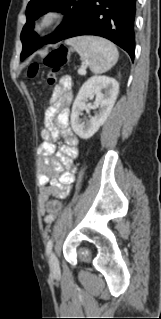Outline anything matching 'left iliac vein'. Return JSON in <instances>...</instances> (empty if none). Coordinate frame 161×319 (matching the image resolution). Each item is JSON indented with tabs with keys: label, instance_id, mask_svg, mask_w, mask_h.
Wrapping results in <instances>:
<instances>
[{
	"label": "left iliac vein",
	"instance_id": "obj_1",
	"mask_svg": "<svg viewBox=\"0 0 161 319\" xmlns=\"http://www.w3.org/2000/svg\"><path fill=\"white\" fill-rule=\"evenodd\" d=\"M49 266L52 273L57 274L60 271L58 259L56 255L52 252L49 256Z\"/></svg>",
	"mask_w": 161,
	"mask_h": 319
}]
</instances>
